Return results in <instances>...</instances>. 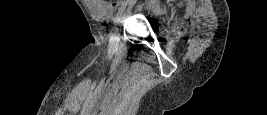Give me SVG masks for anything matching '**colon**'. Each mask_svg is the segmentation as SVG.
<instances>
[{
	"label": "colon",
	"mask_w": 267,
	"mask_h": 115,
	"mask_svg": "<svg viewBox=\"0 0 267 115\" xmlns=\"http://www.w3.org/2000/svg\"><path fill=\"white\" fill-rule=\"evenodd\" d=\"M100 2H102L103 4H105L106 6L110 7V8H114L117 7L122 0H100ZM154 2V1H151Z\"/></svg>",
	"instance_id": "5ec220e1"
}]
</instances>
